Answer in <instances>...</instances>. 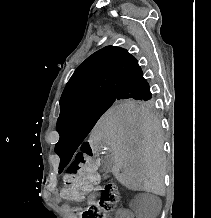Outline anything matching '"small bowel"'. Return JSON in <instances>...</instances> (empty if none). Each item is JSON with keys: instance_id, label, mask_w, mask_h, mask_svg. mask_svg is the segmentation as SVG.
Returning <instances> with one entry per match:
<instances>
[{"instance_id": "small-bowel-1", "label": "small bowel", "mask_w": 211, "mask_h": 218, "mask_svg": "<svg viewBox=\"0 0 211 218\" xmlns=\"http://www.w3.org/2000/svg\"><path fill=\"white\" fill-rule=\"evenodd\" d=\"M101 190L100 186H96L90 196L88 197V202L91 203L98 199V192ZM54 200L56 202H61L63 200L62 194L60 190H56L54 192ZM65 210L71 214L75 213V209L70 206H64ZM120 218H133L134 214L130 209H121L118 212Z\"/></svg>"}]
</instances>
